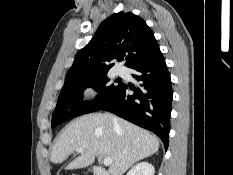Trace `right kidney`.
<instances>
[{"label": "right kidney", "instance_id": "1", "mask_svg": "<svg viewBox=\"0 0 233 175\" xmlns=\"http://www.w3.org/2000/svg\"><path fill=\"white\" fill-rule=\"evenodd\" d=\"M155 169L148 162H140L133 166L126 175H154Z\"/></svg>", "mask_w": 233, "mask_h": 175}]
</instances>
